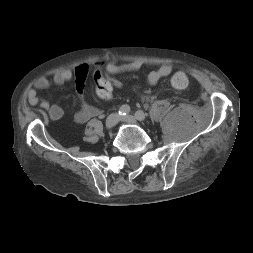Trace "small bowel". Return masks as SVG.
<instances>
[{"mask_svg":"<svg viewBox=\"0 0 253 253\" xmlns=\"http://www.w3.org/2000/svg\"><path fill=\"white\" fill-rule=\"evenodd\" d=\"M143 63L141 61H131L119 63L117 61H109L106 64V70L113 75L127 72H134L141 69ZM170 64H163L149 72L147 82L150 86H155L162 78L172 73ZM89 69L85 64H80L75 69L63 70L57 72L52 78L41 77L35 84L34 88L28 91V102L30 105H39L40 108L47 112L52 121H57L63 116V108L59 104H50L46 99L38 95V90L48 89L53 85H62L72 79L76 82V90L80 100V109L76 112L74 119L78 123H86L90 119L101 115V110L88 104L83 98V88L85 80L88 76Z\"/></svg>","mask_w":253,"mask_h":253,"instance_id":"c3829d8e","label":"small bowel"}]
</instances>
